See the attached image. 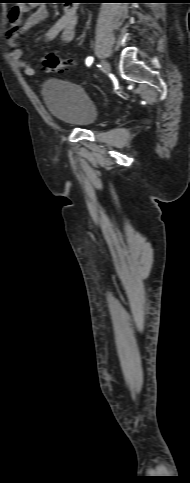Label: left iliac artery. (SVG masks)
Instances as JSON below:
<instances>
[{"mask_svg":"<svg viewBox=\"0 0 190 483\" xmlns=\"http://www.w3.org/2000/svg\"><path fill=\"white\" fill-rule=\"evenodd\" d=\"M92 62H93V57H88V58L86 59V65H87V66H90V65L92 64Z\"/></svg>","mask_w":190,"mask_h":483,"instance_id":"obj_1","label":"left iliac artery"}]
</instances>
